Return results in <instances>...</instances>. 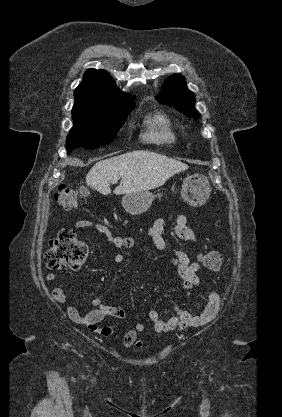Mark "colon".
Listing matches in <instances>:
<instances>
[{"mask_svg":"<svg viewBox=\"0 0 282 417\" xmlns=\"http://www.w3.org/2000/svg\"><path fill=\"white\" fill-rule=\"evenodd\" d=\"M55 197L58 206L63 209H73L77 204V196L73 190L64 186L57 188ZM89 250L87 245L74 237L71 230H63L49 241V249L46 252L44 263L47 269L64 271L78 268L87 259ZM201 261L211 271H218L223 263L218 252L205 254Z\"/></svg>","mask_w":282,"mask_h":417,"instance_id":"obj_1","label":"colon"}]
</instances>
